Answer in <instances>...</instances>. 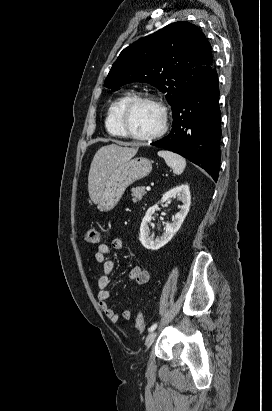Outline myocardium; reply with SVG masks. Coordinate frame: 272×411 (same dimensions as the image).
<instances>
[{
	"label": "myocardium",
	"mask_w": 272,
	"mask_h": 411,
	"mask_svg": "<svg viewBox=\"0 0 272 411\" xmlns=\"http://www.w3.org/2000/svg\"><path fill=\"white\" fill-rule=\"evenodd\" d=\"M141 102H146V103H151L155 105L161 113V125L159 129L150 134V135H137L133 133L132 131L129 130L128 125H127V117L134 105L137 103ZM119 124L121 127V130L124 134L125 137H128L132 140L136 141H154L159 138H161L168 130L169 127V117H168V111L164 103L154 97V96H149V95H139V96H132L122 107L120 114H119Z\"/></svg>",
	"instance_id": "1"
}]
</instances>
